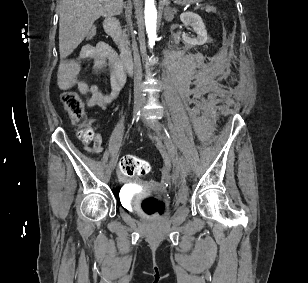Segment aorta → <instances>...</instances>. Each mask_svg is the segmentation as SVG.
I'll return each instance as SVG.
<instances>
[{
    "instance_id": "1",
    "label": "aorta",
    "mask_w": 308,
    "mask_h": 283,
    "mask_svg": "<svg viewBox=\"0 0 308 283\" xmlns=\"http://www.w3.org/2000/svg\"><path fill=\"white\" fill-rule=\"evenodd\" d=\"M145 25L146 32L149 39V46L153 47L156 40V23H157V10L154 0H145Z\"/></svg>"
}]
</instances>
